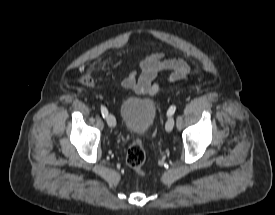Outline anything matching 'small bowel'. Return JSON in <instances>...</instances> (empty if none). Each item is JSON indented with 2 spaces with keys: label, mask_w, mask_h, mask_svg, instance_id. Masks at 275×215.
<instances>
[{
  "label": "small bowel",
  "mask_w": 275,
  "mask_h": 215,
  "mask_svg": "<svg viewBox=\"0 0 275 215\" xmlns=\"http://www.w3.org/2000/svg\"><path fill=\"white\" fill-rule=\"evenodd\" d=\"M140 74L137 76L132 70L122 80L121 85L125 89H131L138 95H156L161 83L156 81L162 71H170L166 81L177 82L186 77L189 72L187 62L178 57H167L163 51H154L139 62Z\"/></svg>",
  "instance_id": "1"
}]
</instances>
